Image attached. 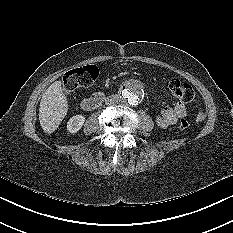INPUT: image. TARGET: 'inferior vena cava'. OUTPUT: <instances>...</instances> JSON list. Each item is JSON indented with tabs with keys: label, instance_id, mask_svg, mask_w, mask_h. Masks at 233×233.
<instances>
[{
	"label": "inferior vena cava",
	"instance_id": "inferior-vena-cava-1",
	"mask_svg": "<svg viewBox=\"0 0 233 233\" xmlns=\"http://www.w3.org/2000/svg\"><path fill=\"white\" fill-rule=\"evenodd\" d=\"M120 102V97L117 94L110 95L106 98L105 104L106 105H115Z\"/></svg>",
	"mask_w": 233,
	"mask_h": 233
}]
</instances>
